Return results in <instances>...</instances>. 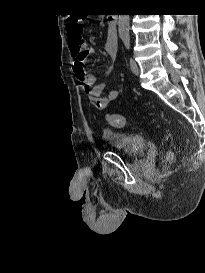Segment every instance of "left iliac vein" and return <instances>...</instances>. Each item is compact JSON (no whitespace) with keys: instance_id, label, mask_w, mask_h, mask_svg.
Segmentation results:
<instances>
[{"instance_id":"4c4485c4","label":"left iliac vein","mask_w":205,"mask_h":273,"mask_svg":"<svg viewBox=\"0 0 205 273\" xmlns=\"http://www.w3.org/2000/svg\"><path fill=\"white\" fill-rule=\"evenodd\" d=\"M130 67H131L132 72L135 75H139V73H140L139 66L133 58L130 59Z\"/></svg>"}]
</instances>
